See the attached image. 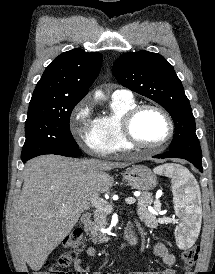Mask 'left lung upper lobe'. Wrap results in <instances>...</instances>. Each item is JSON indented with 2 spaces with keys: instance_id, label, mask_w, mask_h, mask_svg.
Listing matches in <instances>:
<instances>
[{
  "instance_id": "5c2ea615",
  "label": "left lung upper lobe",
  "mask_w": 215,
  "mask_h": 274,
  "mask_svg": "<svg viewBox=\"0 0 215 274\" xmlns=\"http://www.w3.org/2000/svg\"><path fill=\"white\" fill-rule=\"evenodd\" d=\"M112 73L121 85L154 100L169 112L176 128L170 151L202 155L189 100L163 56L144 50L126 53L115 61Z\"/></svg>"
}]
</instances>
